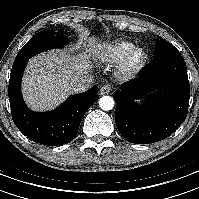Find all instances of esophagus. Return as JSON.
<instances>
[{
	"instance_id": "1",
	"label": "esophagus",
	"mask_w": 199,
	"mask_h": 199,
	"mask_svg": "<svg viewBox=\"0 0 199 199\" xmlns=\"http://www.w3.org/2000/svg\"><path fill=\"white\" fill-rule=\"evenodd\" d=\"M99 92H100L101 95L108 94L110 92V87L108 85H105V86L100 88Z\"/></svg>"
}]
</instances>
